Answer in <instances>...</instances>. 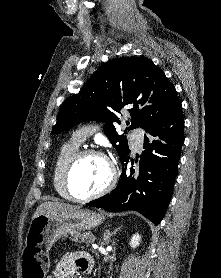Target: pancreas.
<instances>
[{
	"mask_svg": "<svg viewBox=\"0 0 221 278\" xmlns=\"http://www.w3.org/2000/svg\"><path fill=\"white\" fill-rule=\"evenodd\" d=\"M71 239L72 241L86 243L87 245H89V243L95 241V236L91 232H74L71 233Z\"/></svg>",
	"mask_w": 221,
	"mask_h": 278,
	"instance_id": "cf45deb5",
	"label": "pancreas"
}]
</instances>
